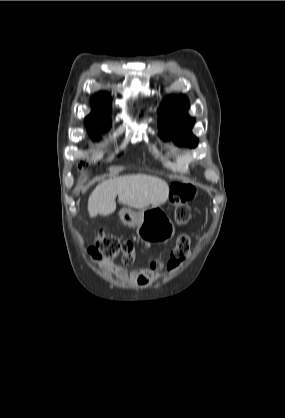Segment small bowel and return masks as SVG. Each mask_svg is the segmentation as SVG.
<instances>
[{
	"label": "small bowel",
	"instance_id": "small-bowel-1",
	"mask_svg": "<svg viewBox=\"0 0 285 418\" xmlns=\"http://www.w3.org/2000/svg\"><path fill=\"white\" fill-rule=\"evenodd\" d=\"M101 269L114 273L118 278L124 279L128 276L130 280L140 286H145L148 283L156 282L159 279L157 274L141 268L136 269L127 275L126 271L115 263H103L101 265Z\"/></svg>",
	"mask_w": 285,
	"mask_h": 418
}]
</instances>
